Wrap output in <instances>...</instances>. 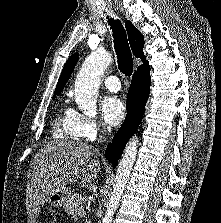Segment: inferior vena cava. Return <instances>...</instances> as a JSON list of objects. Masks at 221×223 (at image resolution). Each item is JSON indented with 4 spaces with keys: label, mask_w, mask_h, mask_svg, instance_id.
I'll list each match as a JSON object with an SVG mask.
<instances>
[{
    "label": "inferior vena cava",
    "mask_w": 221,
    "mask_h": 223,
    "mask_svg": "<svg viewBox=\"0 0 221 223\" xmlns=\"http://www.w3.org/2000/svg\"><path fill=\"white\" fill-rule=\"evenodd\" d=\"M107 130L110 131L109 128ZM103 141H105V139L104 138H100L99 142H103Z\"/></svg>",
    "instance_id": "obj_1"
}]
</instances>
